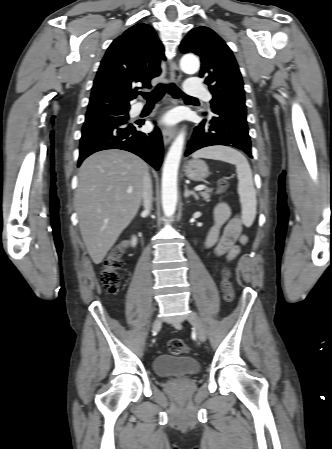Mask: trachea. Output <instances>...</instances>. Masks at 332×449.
I'll return each mask as SVG.
<instances>
[{
  "instance_id": "3493384b",
  "label": "trachea",
  "mask_w": 332,
  "mask_h": 449,
  "mask_svg": "<svg viewBox=\"0 0 332 449\" xmlns=\"http://www.w3.org/2000/svg\"><path fill=\"white\" fill-rule=\"evenodd\" d=\"M166 89L168 90V92L174 98H184V99H189V100H197L196 98L191 97V96L185 94L184 92H182L174 84H169V85L159 84L151 92H149V93L140 92V95H142L148 102H155V101L160 100L164 96Z\"/></svg>"
}]
</instances>
